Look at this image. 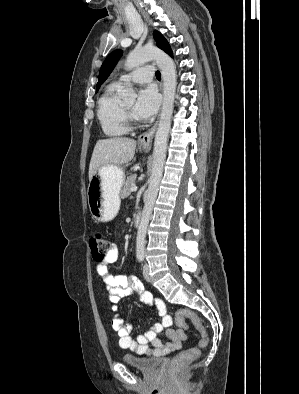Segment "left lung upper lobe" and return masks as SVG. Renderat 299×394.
<instances>
[{
    "label": "left lung upper lobe",
    "instance_id": "obj_1",
    "mask_svg": "<svg viewBox=\"0 0 299 394\" xmlns=\"http://www.w3.org/2000/svg\"><path fill=\"white\" fill-rule=\"evenodd\" d=\"M153 35L157 42V46L161 48L163 51H165L167 54L171 55L173 52L167 40L163 37V35L158 31H154ZM121 56H122V51L115 50L111 54H109L108 57L105 59L99 72V79L96 86V91H98L101 84L107 79V77L109 76V74L111 73V71L113 70V68L115 67Z\"/></svg>",
    "mask_w": 299,
    "mask_h": 394
}]
</instances>
